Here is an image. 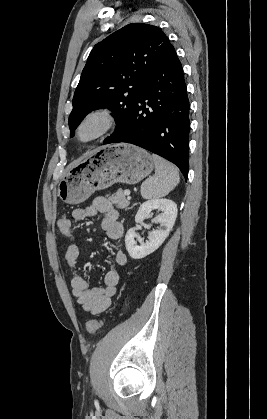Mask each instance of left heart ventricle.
Returning a JSON list of instances; mask_svg holds the SVG:
<instances>
[{
    "mask_svg": "<svg viewBox=\"0 0 267 419\" xmlns=\"http://www.w3.org/2000/svg\"><path fill=\"white\" fill-rule=\"evenodd\" d=\"M95 131V125L91 124L87 126L83 131V136L88 137Z\"/></svg>",
    "mask_w": 267,
    "mask_h": 419,
    "instance_id": "1",
    "label": "left heart ventricle"
}]
</instances>
